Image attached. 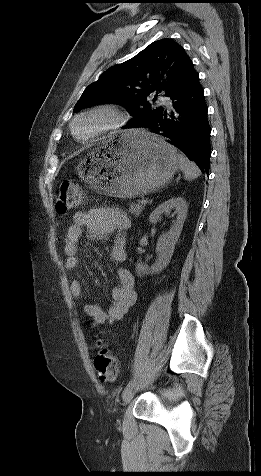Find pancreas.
Segmentation results:
<instances>
[{
    "instance_id": "pancreas-1",
    "label": "pancreas",
    "mask_w": 261,
    "mask_h": 476,
    "mask_svg": "<svg viewBox=\"0 0 261 476\" xmlns=\"http://www.w3.org/2000/svg\"><path fill=\"white\" fill-rule=\"evenodd\" d=\"M143 210H144V205L141 203V201H138L136 203L132 202L130 204L129 212L135 215V217H138Z\"/></svg>"
}]
</instances>
